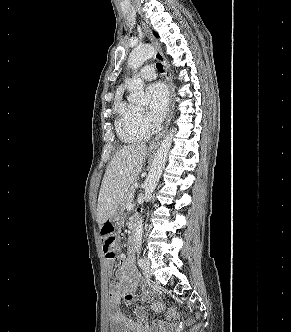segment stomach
Here are the masks:
<instances>
[{
	"label": "stomach",
	"mask_w": 291,
	"mask_h": 332,
	"mask_svg": "<svg viewBox=\"0 0 291 332\" xmlns=\"http://www.w3.org/2000/svg\"><path fill=\"white\" fill-rule=\"evenodd\" d=\"M124 219V215L122 211H117L114 216L111 218V222L116 226L119 227Z\"/></svg>",
	"instance_id": "obj_1"
}]
</instances>
